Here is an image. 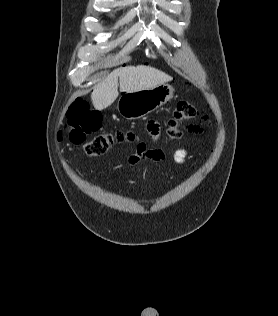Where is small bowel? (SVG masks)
<instances>
[{
	"label": "small bowel",
	"instance_id": "small-bowel-1",
	"mask_svg": "<svg viewBox=\"0 0 278 316\" xmlns=\"http://www.w3.org/2000/svg\"><path fill=\"white\" fill-rule=\"evenodd\" d=\"M147 130L154 140H156L159 137L160 126L156 121L154 120L149 121L147 125ZM187 155H188V152L185 148H178L173 153V161L176 164L182 165L185 162ZM165 158H166V155L161 149H157V148L149 149L147 148L146 144L140 143L137 146L135 153L131 154L128 157L127 163L129 165H135L137 163H140L146 160L163 161Z\"/></svg>",
	"mask_w": 278,
	"mask_h": 316
}]
</instances>
